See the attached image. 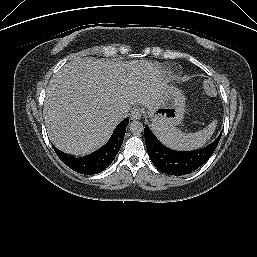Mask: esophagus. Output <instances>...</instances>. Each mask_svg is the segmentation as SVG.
Returning <instances> with one entry per match:
<instances>
[{
  "instance_id": "obj_1",
  "label": "esophagus",
  "mask_w": 257,
  "mask_h": 257,
  "mask_svg": "<svg viewBox=\"0 0 257 257\" xmlns=\"http://www.w3.org/2000/svg\"><path fill=\"white\" fill-rule=\"evenodd\" d=\"M142 110L140 108H134L132 111H131V114H130V118L132 120H138L141 118L142 116Z\"/></svg>"
}]
</instances>
